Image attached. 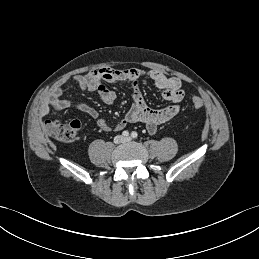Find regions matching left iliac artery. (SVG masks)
Here are the masks:
<instances>
[{
  "instance_id": "left-iliac-artery-1",
  "label": "left iliac artery",
  "mask_w": 259,
  "mask_h": 259,
  "mask_svg": "<svg viewBox=\"0 0 259 259\" xmlns=\"http://www.w3.org/2000/svg\"><path fill=\"white\" fill-rule=\"evenodd\" d=\"M137 136H138L137 132L133 131V132L131 133V137H132V138H137Z\"/></svg>"
}]
</instances>
